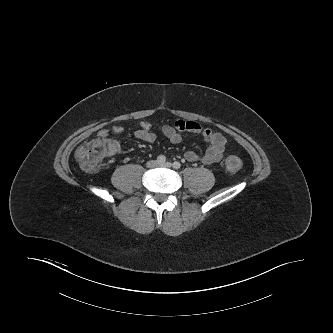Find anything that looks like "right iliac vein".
Here are the masks:
<instances>
[{
	"mask_svg": "<svg viewBox=\"0 0 333 333\" xmlns=\"http://www.w3.org/2000/svg\"><path fill=\"white\" fill-rule=\"evenodd\" d=\"M158 165V163H157V161H150L149 163H148V166L150 167V168H153V167H156Z\"/></svg>",
	"mask_w": 333,
	"mask_h": 333,
	"instance_id": "right-iliac-vein-1",
	"label": "right iliac vein"
}]
</instances>
